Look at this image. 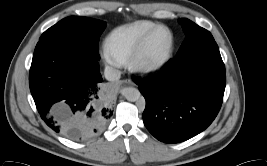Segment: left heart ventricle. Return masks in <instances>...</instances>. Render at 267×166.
Segmentation results:
<instances>
[{
	"label": "left heart ventricle",
	"mask_w": 267,
	"mask_h": 166,
	"mask_svg": "<svg viewBox=\"0 0 267 166\" xmlns=\"http://www.w3.org/2000/svg\"><path fill=\"white\" fill-rule=\"evenodd\" d=\"M170 35L166 30H159L150 39L144 53L143 60L156 61L162 58L169 46Z\"/></svg>",
	"instance_id": "left-heart-ventricle-1"
}]
</instances>
